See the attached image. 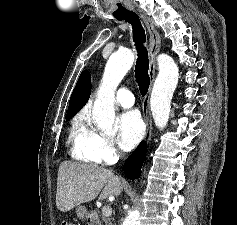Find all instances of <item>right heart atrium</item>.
<instances>
[{"label":"right heart atrium","instance_id":"1","mask_svg":"<svg viewBox=\"0 0 237 225\" xmlns=\"http://www.w3.org/2000/svg\"><path fill=\"white\" fill-rule=\"evenodd\" d=\"M88 147L92 157L101 164H112L119 157L114 140L94 128L90 131Z\"/></svg>","mask_w":237,"mask_h":225}]
</instances>
